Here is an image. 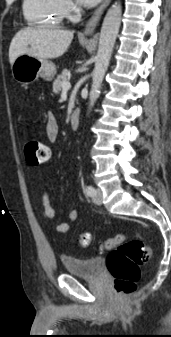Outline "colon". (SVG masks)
I'll return each instance as SVG.
<instances>
[{
  "instance_id": "colon-1",
  "label": "colon",
  "mask_w": 171,
  "mask_h": 337,
  "mask_svg": "<svg viewBox=\"0 0 171 337\" xmlns=\"http://www.w3.org/2000/svg\"><path fill=\"white\" fill-rule=\"evenodd\" d=\"M24 154L28 164L39 165L48 160L49 149L41 141L29 139L24 145ZM91 235L82 233L76 238V244L82 248L90 245ZM101 249L108 250L107 268L114 278L117 294H132L140 279V265L150 256V248L138 239L124 240L116 235L103 242Z\"/></svg>"
}]
</instances>
